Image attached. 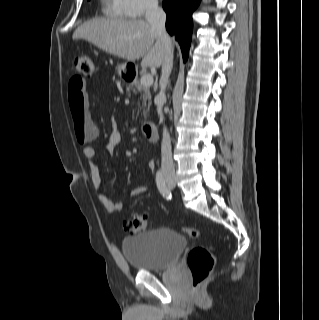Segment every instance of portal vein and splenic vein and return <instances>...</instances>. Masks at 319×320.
<instances>
[{
    "label": "portal vein and splenic vein",
    "instance_id": "1",
    "mask_svg": "<svg viewBox=\"0 0 319 320\" xmlns=\"http://www.w3.org/2000/svg\"><path fill=\"white\" fill-rule=\"evenodd\" d=\"M141 84L149 87L153 84V76L150 74H146L141 78Z\"/></svg>",
    "mask_w": 319,
    "mask_h": 320
}]
</instances>
